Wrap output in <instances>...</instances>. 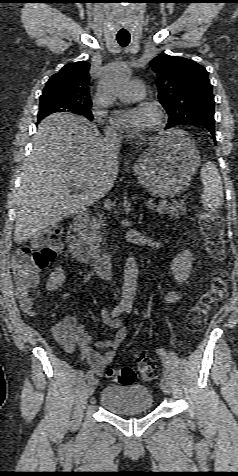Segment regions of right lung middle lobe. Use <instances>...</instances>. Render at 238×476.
I'll return each mask as SVG.
<instances>
[{
	"instance_id": "obj_1",
	"label": "right lung middle lobe",
	"mask_w": 238,
	"mask_h": 476,
	"mask_svg": "<svg viewBox=\"0 0 238 476\" xmlns=\"http://www.w3.org/2000/svg\"><path fill=\"white\" fill-rule=\"evenodd\" d=\"M56 112H73V113H76V114L83 115V116H85L86 118H88L90 120L93 117L92 113L90 111V107L80 109V110H77V111L74 112V111L65 110L64 108H62L58 104H55V103H52V102H40L39 112H38V120H41L45 116H48V115H50L52 113H56Z\"/></svg>"
}]
</instances>
